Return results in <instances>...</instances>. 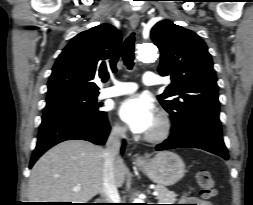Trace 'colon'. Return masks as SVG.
<instances>
[{
    "label": "colon",
    "mask_w": 253,
    "mask_h": 205,
    "mask_svg": "<svg viewBox=\"0 0 253 205\" xmlns=\"http://www.w3.org/2000/svg\"><path fill=\"white\" fill-rule=\"evenodd\" d=\"M197 182L200 194L205 199H210L216 195L215 182L208 170H201L197 174Z\"/></svg>",
    "instance_id": "obj_1"
}]
</instances>
